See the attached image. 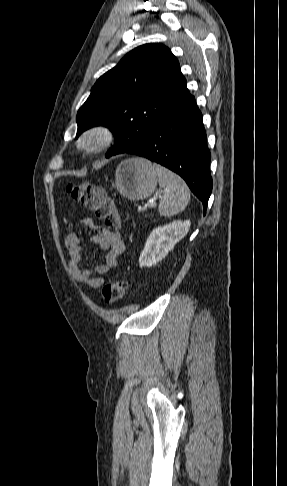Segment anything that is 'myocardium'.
Wrapping results in <instances>:
<instances>
[{"label": "myocardium", "mask_w": 287, "mask_h": 486, "mask_svg": "<svg viewBox=\"0 0 287 486\" xmlns=\"http://www.w3.org/2000/svg\"><path fill=\"white\" fill-rule=\"evenodd\" d=\"M114 140L113 130L107 125L98 124L84 131L76 145L84 153L96 154L110 147Z\"/></svg>", "instance_id": "myocardium-1"}]
</instances>
